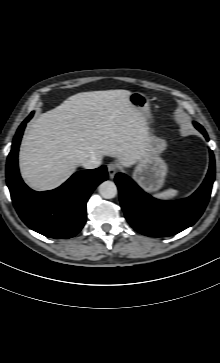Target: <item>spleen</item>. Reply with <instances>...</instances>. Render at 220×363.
Segmentation results:
<instances>
[{"instance_id":"1","label":"spleen","mask_w":220,"mask_h":363,"mask_svg":"<svg viewBox=\"0 0 220 363\" xmlns=\"http://www.w3.org/2000/svg\"><path fill=\"white\" fill-rule=\"evenodd\" d=\"M178 194V191L175 189H168L159 194H156L154 197L160 200H168L174 198Z\"/></svg>"}]
</instances>
